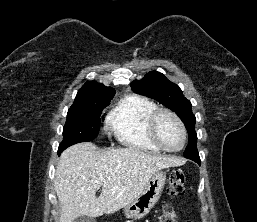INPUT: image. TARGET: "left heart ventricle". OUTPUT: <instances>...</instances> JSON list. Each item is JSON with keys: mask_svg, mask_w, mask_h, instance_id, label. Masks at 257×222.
<instances>
[{"mask_svg": "<svg viewBox=\"0 0 257 222\" xmlns=\"http://www.w3.org/2000/svg\"><path fill=\"white\" fill-rule=\"evenodd\" d=\"M156 131L160 141L170 149L180 147L182 133L176 121L169 115H162L157 121Z\"/></svg>", "mask_w": 257, "mask_h": 222, "instance_id": "obj_1", "label": "left heart ventricle"}]
</instances>
